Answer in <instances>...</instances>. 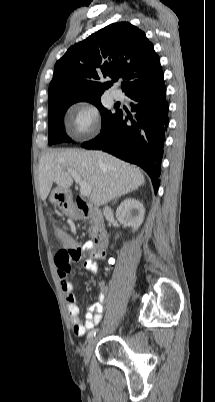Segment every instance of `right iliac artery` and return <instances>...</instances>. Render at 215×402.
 <instances>
[{"instance_id": "82829eb1", "label": "right iliac artery", "mask_w": 215, "mask_h": 402, "mask_svg": "<svg viewBox=\"0 0 215 402\" xmlns=\"http://www.w3.org/2000/svg\"><path fill=\"white\" fill-rule=\"evenodd\" d=\"M97 331H98V329H94V330L90 331V332L88 333V335H87V338L90 339V338H92L93 336H95L96 333H97Z\"/></svg>"}]
</instances>
